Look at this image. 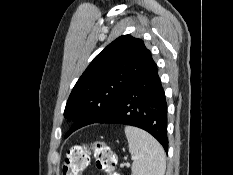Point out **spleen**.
<instances>
[{
    "label": "spleen",
    "mask_w": 233,
    "mask_h": 175,
    "mask_svg": "<svg viewBox=\"0 0 233 175\" xmlns=\"http://www.w3.org/2000/svg\"><path fill=\"white\" fill-rule=\"evenodd\" d=\"M130 154L134 157L132 175H164L165 152L150 134L133 126L125 127Z\"/></svg>",
    "instance_id": "spleen-1"
}]
</instances>
